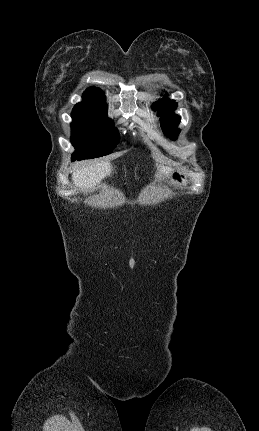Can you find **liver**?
Returning <instances> with one entry per match:
<instances>
[{
	"mask_svg": "<svg viewBox=\"0 0 259 431\" xmlns=\"http://www.w3.org/2000/svg\"><path fill=\"white\" fill-rule=\"evenodd\" d=\"M112 165L109 161L97 162L87 167H80L73 171L72 180L76 187L83 192L93 189L106 176L110 175ZM159 172L161 175L168 177L172 169L167 166H160Z\"/></svg>",
	"mask_w": 259,
	"mask_h": 431,
	"instance_id": "6515ba94",
	"label": "liver"
}]
</instances>
